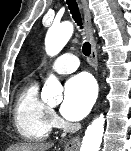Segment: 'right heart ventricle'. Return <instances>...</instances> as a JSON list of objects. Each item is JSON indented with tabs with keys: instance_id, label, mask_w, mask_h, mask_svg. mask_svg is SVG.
<instances>
[{
	"instance_id": "1",
	"label": "right heart ventricle",
	"mask_w": 131,
	"mask_h": 151,
	"mask_svg": "<svg viewBox=\"0 0 131 151\" xmlns=\"http://www.w3.org/2000/svg\"><path fill=\"white\" fill-rule=\"evenodd\" d=\"M14 123L19 135L27 141H42L50 135L54 125L51 109L40 99L37 82H30L20 90Z\"/></svg>"
}]
</instances>
